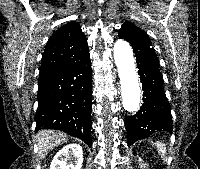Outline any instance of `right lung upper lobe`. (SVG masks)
Segmentation results:
<instances>
[{"label":"right lung upper lobe","instance_id":"right-lung-upper-lobe-1","mask_svg":"<svg viewBox=\"0 0 200 169\" xmlns=\"http://www.w3.org/2000/svg\"><path fill=\"white\" fill-rule=\"evenodd\" d=\"M87 39L77 22H69L56 30L46 44L40 74L68 66L88 52Z\"/></svg>","mask_w":200,"mask_h":169}]
</instances>
